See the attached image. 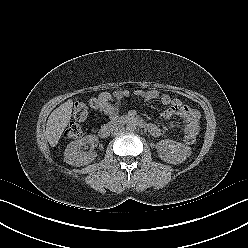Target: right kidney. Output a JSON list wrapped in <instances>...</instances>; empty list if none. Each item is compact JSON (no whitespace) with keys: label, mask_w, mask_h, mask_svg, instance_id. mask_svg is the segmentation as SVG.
<instances>
[{"label":"right kidney","mask_w":248,"mask_h":248,"mask_svg":"<svg viewBox=\"0 0 248 248\" xmlns=\"http://www.w3.org/2000/svg\"><path fill=\"white\" fill-rule=\"evenodd\" d=\"M98 143V137L95 135H87L81 139L69 143L64 152V161L72 166H84L95 160L97 154L94 148ZM91 146L89 152H83V149Z\"/></svg>","instance_id":"ca27d5eb"}]
</instances>
